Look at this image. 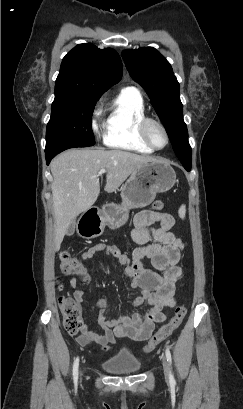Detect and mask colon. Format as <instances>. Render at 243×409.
<instances>
[{
    "label": "colon",
    "instance_id": "obj_1",
    "mask_svg": "<svg viewBox=\"0 0 243 409\" xmlns=\"http://www.w3.org/2000/svg\"><path fill=\"white\" fill-rule=\"evenodd\" d=\"M154 211H160L163 208V202L156 201L153 203ZM59 269L67 276H85L83 266L68 252H62L59 257ZM59 308L62 316L63 326L65 330L71 334L77 333L83 324L82 315L80 312V303L69 296H63L59 299ZM187 309L185 306L177 307L175 315L170 321L165 323L161 328L150 338L144 346V351L149 353L153 351L161 342L169 338L174 331L181 325Z\"/></svg>",
    "mask_w": 243,
    "mask_h": 409
}]
</instances>
